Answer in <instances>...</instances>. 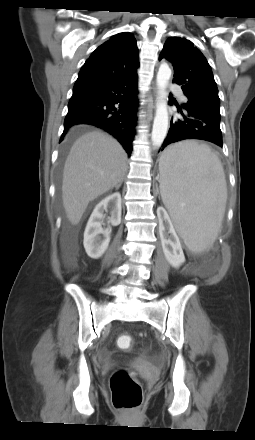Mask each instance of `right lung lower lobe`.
<instances>
[{
	"label": "right lung lower lobe",
	"mask_w": 255,
	"mask_h": 440,
	"mask_svg": "<svg viewBox=\"0 0 255 440\" xmlns=\"http://www.w3.org/2000/svg\"><path fill=\"white\" fill-rule=\"evenodd\" d=\"M137 73L107 85L73 92L64 121V132L77 124H90L112 134L130 155L135 135Z\"/></svg>",
	"instance_id": "1"
}]
</instances>
